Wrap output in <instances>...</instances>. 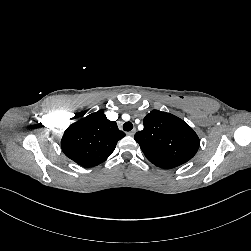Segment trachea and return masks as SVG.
Listing matches in <instances>:
<instances>
[{"label": "trachea", "mask_w": 251, "mask_h": 251, "mask_svg": "<svg viewBox=\"0 0 251 251\" xmlns=\"http://www.w3.org/2000/svg\"><path fill=\"white\" fill-rule=\"evenodd\" d=\"M133 128V124L131 122H126L123 125V130L124 131H131Z\"/></svg>", "instance_id": "trachea-1"}]
</instances>
